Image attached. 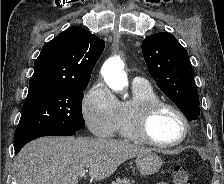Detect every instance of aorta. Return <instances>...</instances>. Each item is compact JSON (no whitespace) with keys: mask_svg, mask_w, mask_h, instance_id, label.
Segmentation results:
<instances>
[{"mask_svg":"<svg viewBox=\"0 0 224 184\" xmlns=\"http://www.w3.org/2000/svg\"><path fill=\"white\" fill-rule=\"evenodd\" d=\"M123 69L124 63L119 58L108 59L101 69L106 84L114 91H123L128 84L127 75Z\"/></svg>","mask_w":224,"mask_h":184,"instance_id":"762f6f07","label":"aorta"}]
</instances>
